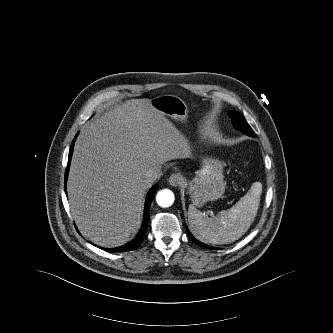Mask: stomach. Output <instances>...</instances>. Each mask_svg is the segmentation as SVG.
<instances>
[{
	"label": "stomach",
	"instance_id": "1",
	"mask_svg": "<svg viewBox=\"0 0 333 333\" xmlns=\"http://www.w3.org/2000/svg\"><path fill=\"white\" fill-rule=\"evenodd\" d=\"M151 105L159 112L177 121H184L188 114L186 103L175 95H161L150 100ZM224 163L214 157H204L202 168L188 183L189 194L196 207L208 201H215L225 192Z\"/></svg>",
	"mask_w": 333,
	"mask_h": 333
}]
</instances>
